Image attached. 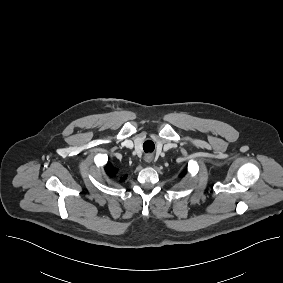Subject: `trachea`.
I'll use <instances>...</instances> for the list:
<instances>
[{
    "label": "trachea",
    "mask_w": 283,
    "mask_h": 283,
    "mask_svg": "<svg viewBox=\"0 0 283 283\" xmlns=\"http://www.w3.org/2000/svg\"><path fill=\"white\" fill-rule=\"evenodd\" d=\"M155 146L152 141H145L143 144V149L145 152H152L154 150Z\"/></svg>",
    "instance_id": "obj_1"
}]
</instances>
